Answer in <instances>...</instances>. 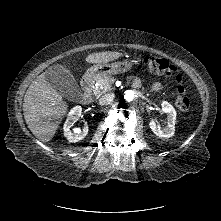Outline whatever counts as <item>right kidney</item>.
<instances>
[{
    "instance_id": "obj_1",
    "label": "right kidney",
    "mask_w": 221,
    "mask_h": 221,
    "mask_svg": "<svg viewBox=\"0 0 221 221\" xmlns=\"http://www.w3.org/2000/svg\"><path fill=\"white\" fill-rule=\"evenodd\" d=\"M82 108L80 106L74 107L68 114V118L64 124V136L69 142H78L82 140L88 134V126L85 125L83 130L74 129V132L70 130L73 123L76 122L81 115Z\"/></svg>"
}]
</instances>
